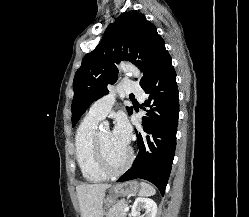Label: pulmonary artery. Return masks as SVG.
Listing matches in <instances>:
<instances>
[{
  "instance_id": "pulmonary-artery-1",
  "label": "pulmonary artery",
  "mask_w": 249,
  "mask_h": 217,
  "mask_svg": "<svg viewBox=\"0 0 249 217\" xmlns=\"http://www.w3.org/2000/svg\"><path fill=\"white\" fill-rule=\"evenodd\" d=\"M119 94H134L141 100L144 98V92L139 85L133 81H124L118 89ZM115 94L110 93L97 100L89 109L88 115L98 120L104 119L113 107Z\"/></svg>"
}]
</instances>
